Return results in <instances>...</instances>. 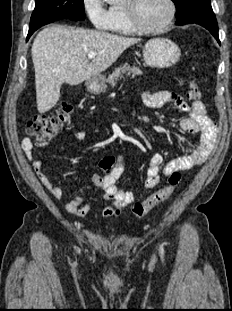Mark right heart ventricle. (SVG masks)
<instances>
[{
  "label": "right heart ventricle",
  "instance_id": "obj_1",
  "mask_svg": "<svg viewBox=\"0 0 232 311\" xmlns=\"http://www.w3.org/2000/svg\"><path fill=\"white\" fill-rule=\"evenodd\" d=\"M112 21L109 31L120 35H133L136 33L130 26L122 5H112L110 8Z\"/></svg>",
  "mask_w": 232,
  "mask_h": 311
}]
</instances>
